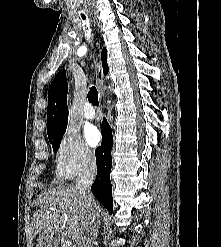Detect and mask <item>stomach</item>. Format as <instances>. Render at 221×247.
Wrapping results in <instances>:
<instances>
[{"mask_svg":"<svg viewBox=\"0 0 221 247\" xmlns=\"http://www.w3.org/2000/svg\"><path fill=\"white\" fill-rule=\"evenodd\" d=\"M52 239H53L52 232H42L38 238L40 247H43V246L48 247L51 244Z\"/></svg>","mask_w":221,"mask_h":247,"instance_id":"stomach-1","label":"stomach"}]
</instances>
